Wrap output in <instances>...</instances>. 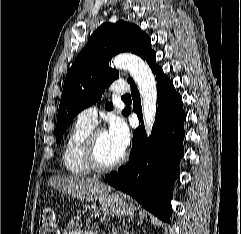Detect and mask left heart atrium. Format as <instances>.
<instances>
[{
	"mask_svg": "<svg viewBox=\"0 0 241 234\" xmlns=\"http://www.w3.org/2000/svg\"><path fill=\"white\" fill-rule=\"evenodd\" d=\"M106 132L113 144L123 153L130 141L129 129L124 120L117 116L111 117Z\"/></svg>",
	"mask_w": 241,
	"mask_h": 234,
	"instance_id": "39dd6f15",
	"label": "left heart atrium"
}]
</instances>
